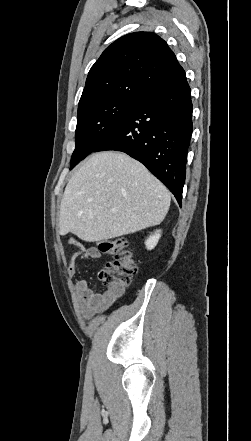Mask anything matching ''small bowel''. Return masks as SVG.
I'll use <instances>...</instances> for the list:
<instances>
[{
    "label": "small bowel",
    "mask_w": 251,
    "mask_h": 441,
    "mask_svg": "<svg viewBox=\"0 0 251 441\" xmlns=\"http://www.w3.org/2000/svg\"><path fill=\"white\" fill-rule=\"evenodd\" d=\"M70 244L77 248L67 267V273L73 276L76 273L79 261L88 258H97L99 252L96 248L85 249L80 242L75 240L71 241ZM74 288L81 313L84 317H90L97 312L108 309L123 293V290L116 291L109 286L101 292H95L85 279L78 280Z\"/></svg>",
    "instance_id": "small-bowel-1"
}]
</instances>
